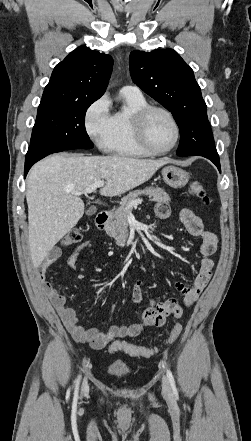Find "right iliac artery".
Segmentation results:
<instances>
[{"mask_svg": "<svg viewBox=\"0 0 251 441\" xmlns=\"http://www.w3.org/2000/svg\"><path fill=\"white\" fill-rule=\"evenodd\" d=\"M80 378H81V376L79 375L78 378L76 379V382H75L76 390L78 389Z\"/></svg>", "mask_w": 251, "mask_h": 441, "instance_id": "obj_1", "label": "right iliac artery"}]
</instances>
